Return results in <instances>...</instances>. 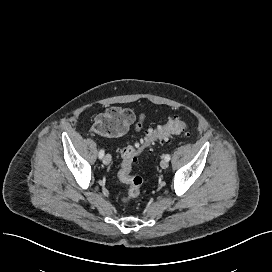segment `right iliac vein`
<instances>
[{
  "label": "right iliac vein",
  "mask_w": 272,
  "mask_h": 272,
  "mask_svg": "<svg viewBox=\"0 0 272 272\" xmlns=\"http://www.w3.org/2000/svg\"><path fill=\"white\" fill-rule=\"evenodd\" d=\"M110 162H111V156H110L109 154H106V155L104 156V158H103V163H104L105 165H108V164H110Z\"/></svg>",
  "instance_id": "63e3f726"
}]
</instances>
